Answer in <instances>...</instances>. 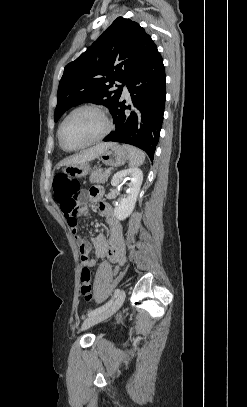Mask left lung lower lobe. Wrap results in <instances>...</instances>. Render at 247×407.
I'll list each match as a JSON object with an SVG mask.
<instances>
[{"instance_id":"0a47b994","label":"left lung lower lobe","mask_w":247,"mask_h":407,"mask_svg":"<svg viewBox=\"0 0 247 407\" xmlns=\"http://www.w3.org/2000/svg\"><path fill=\"white\" fill-rule=\"evenodd\" d=\"M165 83L163 59L156 48L127 82L133 105L125 106V101L120 99L112 112L116 128L104 141L134 145L144 150L152 161L162 128Z\"/></svg>"}]
</instances>
